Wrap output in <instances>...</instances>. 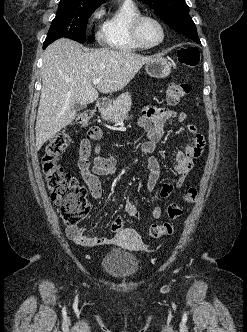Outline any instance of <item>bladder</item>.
Segmentation results:
<instances>
[{
    "instance_id": "31cf9c89",
    "label": "bladder",
    "mask_w": 247,
    "mask_h": 332,
    "mask_svg": "<svg viewBox=\"0 0 247 332\" xmlns=\"http://www.w3.org/2000/svg\"><path fill=\"white\" fill-rule=\"evenodd\" d=\"M106 275L117 280H127L139 271V259L132 253L115 249L104 255L101 260Z\"/></svg>"
}]
</instances>
